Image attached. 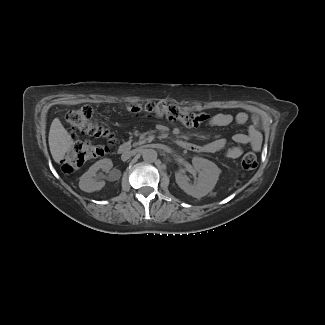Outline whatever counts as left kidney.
<instances>
[{
  "mask_svg": "<svg viewBox=\"0 0 325 325\" xmlns=\"http://www.w3.org/2000/svg\"><path fill=\"white\" fill-rule=\"evenodd\" d=\"M192 165L199 173L198 181L191 184L184 171H178L175 173L176 183L188 195L201 198L213 190L219 179L221 170L212 161L201 157H194L192 159Z\"/></svg>",
  "mask_w": 325,
  "mask_h": 325,
  "instance_id": "obj_1",
  "label": "left kidney"
}]
</instances>
